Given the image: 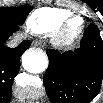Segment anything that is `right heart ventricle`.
Returning a JSON list of instances; mask_svg holds the SVG:
<instances>
[{
  "mask_svg": "<svg viewBox=\"0 0 103 103\" xmlns=\"http://www.w3.org/2000/svg\"><path fill=\"white\" fill-rule=\"evenodd\" d=\"M70 15L71 11L65 8H39L30 16L27 27L31 32L36 34L53 32Z\"/></svg>",
  "mask_w": 103,
  "mask_h": 103,
  "instance_id": "right-heart-ventricle-1",
  "label": "right heart ventricle"
}]
</instances>
